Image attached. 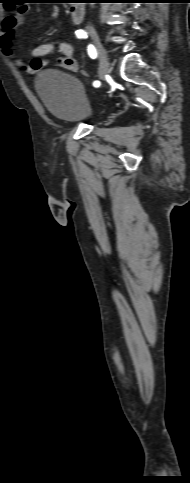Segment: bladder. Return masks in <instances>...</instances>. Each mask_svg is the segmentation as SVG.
<instances>
[{
    "mask_svg": "<svg viewBox=\"0 0 190 483\" xmlns=\"http://www.w3.org/2000/svg\"><path fill=\"white\" fill-rule=\"evenodd\" d=\"M35 86L43 104L62 121L86 122L94 117L86 89L73 74L46 69L36 77Z\"/></svg>",
    "mask_w": 190,
    "mask_h": 483,
    "instance_id": "bladder-1",
    "label": "bladder"
}]
</instances>
